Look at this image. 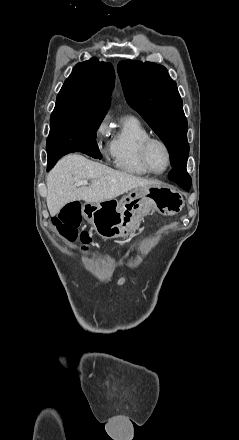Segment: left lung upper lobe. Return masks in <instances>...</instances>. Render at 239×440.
I'll return each mask as SVG.
<instances>
[{
  "mask_svg": "<svg viewBox=\"0 0 239 440\" xmlns=\"http://www.w3.org/2000/svg\"><path fill=\"white\" fill-rule=\"evenodd\" d=\"M118 74L128 104L137 110L171 153L172 167L187 165V120L176 83L152 62L123 61Z\"/></svg>",
  "mask_w": 239,
  "mask_h": 440,
  "instance_id": "obj_1",
  "label": "left lung upper lobe"
}]
</instances>
